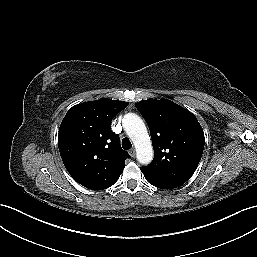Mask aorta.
Segmentation results:
<instances>
[{"label": "aorta", "mask_w": 257, "mask_h": 257, "mask_svg": "<svg viewBox=\"0 0 257 257\" xmlns=\"http://www.w3.org/2000/svg\"><path fill=\"white\" fill-rule=\"evenodd\" d=\"M122 122L136 148L137 160L143 165L149 164L153 159V148L143 120L134 113H128Z\"/></svg>", "instance_id": "obj_1"}]
</instances>
